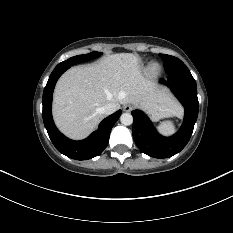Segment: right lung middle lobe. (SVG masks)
<instances>
[{"mask_svg":"<svg viewBox=\"0 0 233 233\" xmlns=\"http://www.w3.org/2000/svg\"><path fill=\"white\" fill-rule=\"evenodd\" d=\"M99 55H101V53L94 51V52H91L89 54L74 56V57L69 58L66 61L61 62L56 67L70 66V65H73V64L81 63V62H84V61L91 60V59H93V58H95V57H97Z\"/></svg>","mask_w":233,"mask_h":233,"instance_id":"dd1d6c3e","label":"right lung middle lobe"}]
</instances>
